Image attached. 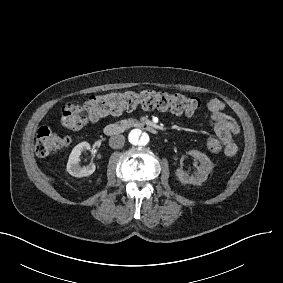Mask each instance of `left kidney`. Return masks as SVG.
<instances>
[{"label":"left kidney","instance_id":"1","mask_svg":"<svg viewBox=\"0 0 283 283\" xmlns=\"http://www.w3.org/2000/svg\"><path fill=\"white\" fill-rule=\"evenodd\" d=\"M188 154L200 162V165L197 168V172L195 173V175L190 176L182 168H178L176 170V176L183 184L201 185L204 181L207 180L209 173L213 169V164L205 154L197 150H190L188 151Z\"/></svg>","mask_w":283,"mask_h":283}]
</instances>
